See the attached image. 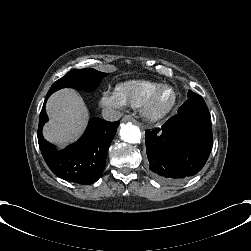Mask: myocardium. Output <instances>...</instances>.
<instances>
[{"label":"myocardium","instance_id":"myocardium-1","mask_svg":"<svg viewBox=\"0 0 251 251\" xmlns=\"http://www.w3.org/2000/svg\"><path fill=\"white\" fill-rule=\"evenodd\" d=\"M166 85H170L174 88L176 98L175 101L168 107L165 108H158L155 104L157 94L159 90ZM182 98V93L180 89L177 87V85L168 79H163L158 81V83L153 87L151 92L149 93L147 99L145 100L144 104L142 105V114L145 118L156 121L159 119L164 118L168 114H170L172 111H174L180 104Z\"/></svg>","mask_w":251,"mask_h":251}]
</instances>
